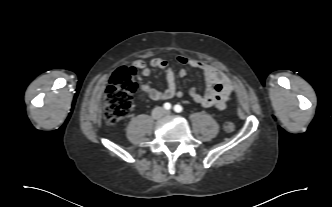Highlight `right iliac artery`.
<instances>
[{"mask_svg": "<svg viewBox=\"0 0 332 207\" xmlns=\"http://www.w3.org/2000/svg\"><path fill=\"white\" fill-rule=\"evenodd\" d=\"M164 109H166V110H170L171 109V104L170 103H165L164 104Z\"/></svg>", "mask_w": 332, "mask_h": 207, "instance_id": "obj_1", "label": "right iliac artery"}]
</instances>
